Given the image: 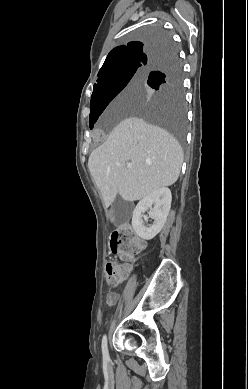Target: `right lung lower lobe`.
<instances>
[{"mask_svg": "<svg viewBox=\"0 0 248 389\" xmlns=\"http://www.w3.org/2000/svg\"><path fill=\"white\" fill-rule=\"evenodd\" d=\"M160 42V41H159ZM162 42V41H161ZM163 52H162V55L163 54H166L168 53L172 48H173V44L172 43H168V44H165L163 47ZM163 75V72H160V71H154L152 73L149 74L148 77H154V78H159ZM148 81V80H147Z\"/></svg>", "mask_w": 248, "mask_h": 389, "instance_id": "obj_1", "label": "right lung lower lobe"}]
</instances>
